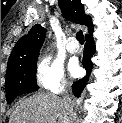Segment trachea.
Here are the masks:
<instances>
[{
	"instance_id": "trachea-1",
	"label": "trachea",
	"mask_w": 122,
	"mask_h": 123,
	"mask_svg": "<svg viewBox=\"0 0 122 123\" xmlns=\"http://www.w3.org/2000/svg\"><path fill=\"white\" fill-rule=\"evenodd\" d=\"M76 38L79 41L80 44L84 43V35L83 32L81 30H79L76 34Z\"/></svg>"
}]
</instances>
